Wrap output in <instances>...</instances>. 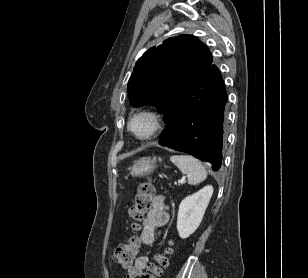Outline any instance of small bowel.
<instances>
[{"label": "small bowel", "instance_id": "1", "mask_svg": "<svg viewBox=\"0 0 308 278\" xmlns=\"http://www.w3.org/2000/svg\"><path fill=\"white\" fill-rule=\"evenodd\" d=\"M170 219L166 198L157 195L153 199V204L142 220L140 241L143 245H152L156 238V230L164 228ZM147 255L138 256L133 265L128 269L126 278H137L148 266Z\"/></svg>", "mask_w": 308, "mask_h": 278}]
</instances>
